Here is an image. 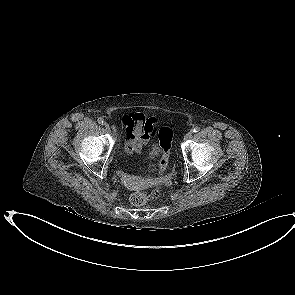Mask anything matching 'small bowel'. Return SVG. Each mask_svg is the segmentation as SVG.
I'll return each mask as SVG.
<instances>
[{"label":"small bowel","mask_w":295,"mask_h":295,"mask_svg":"<svg viewBox=\"0 0 295 295\" xmlns=\"http://www.w3.org/2000/svg\"><path fill=\"white\" fill-rule=\"evenodd\" d=\"M122 122L127 127V137L124 144V151L128 155L140 153L149 145L154 129V118H146L142 113H134L122 117ZM118 180L129 188L135 190H150L154 187L152 180L144 181L130 177L126 173H120Z\"/></svg>","instance_id":"small-bowel-1"}]
</instances>
